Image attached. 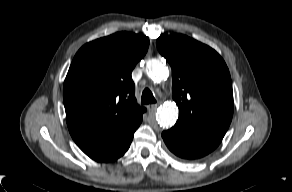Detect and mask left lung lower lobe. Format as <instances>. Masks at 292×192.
Listing matches in <instances>:
<instances>
[{
  "label": "left lung lower lobe",
  "instance_id": "obj_1",
  "mask_svg": "<svg viewBox=\"0 0 292 192\" xmlns=\"http://www.w3.org/2000/svg\"><path fill=\"white\" fill-rule=\"evenodd\" d=\"M168 149L182 159H198L212 152L220 139L171 128L162 133Z\"/></svg>",
  "mask_w": 292,
  "mask_h": 192
}]
</instances>
